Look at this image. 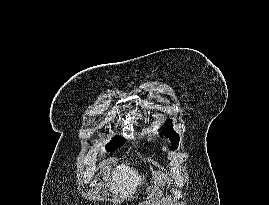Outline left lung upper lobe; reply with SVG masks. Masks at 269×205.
Returning a JSON list of instances; mask_svg holds the SVG:
<instances>
[{"label": "left lung upper lobe", "mask_w": 269, "mask_h": 205, "mask_svg": "<svg viewBox=\"0 0 269 205\" xmlns=\"http://www.w3.org/2000/svg\"><path fill=\"white\" fill-rule=\"evenodd\" d=\"M161 129L162 134L170 139L172 143V149H176L179 143V135L172 129L171 120H167Z\"/></svg>", "instance_id": "1"}]
</instances>
